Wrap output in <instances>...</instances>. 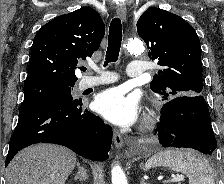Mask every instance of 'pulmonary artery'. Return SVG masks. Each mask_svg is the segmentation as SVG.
I'll return each instance as SVG.
<instances>
[{
    "instance_id": "e3ab8cb5",
    "label": "pulmonary artery",
    "mask_w": 224,
    "mask_h": 184,
    "mask_svg": "<svg viewBox=\"0 0 224 184\" xmlns=\"http://www.w3.org/2000/svg\"><path fill=\"white\" fill-rule=\"evenodd\" d=\"M96 71L100 73L98 77H83L78 83V89L84 90L87 88L95 87L105 83H111L116 81L118 78L115 74L105 72L104 70L94 67ZM145 68L139 61H131L128 65L127 76L129 77H140L143 75Z\"/></svg>"
}]
</instances>
